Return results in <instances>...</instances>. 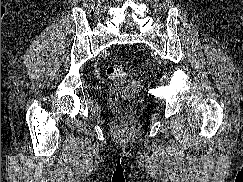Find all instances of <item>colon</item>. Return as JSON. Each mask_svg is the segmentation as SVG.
<instances>
[{"label":"colon","instance_id":"1","mask_svg":"<svg viewBox=\"0 0 243 182\" xmlns=\"http://www.w3.org/2000/svg\"><path fill=\"white\" fill-rule=\"evenodd\" d=\"M107 75L114 80H121L130 75V70L121 64L110 65L106 69Z\"/></svg>","mask_w":243,"mask_h":182}]
</instances>
